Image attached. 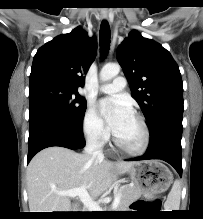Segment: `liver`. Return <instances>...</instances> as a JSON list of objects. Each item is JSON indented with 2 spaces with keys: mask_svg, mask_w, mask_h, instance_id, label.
<instances>
[{
  "mask_svg": "<svg viewBox=\"0 0 203 219\" xmlns=\"http://www.w3.org/2000/svg\"><path fill=\"white\" fill-rule=\"evenodd\" d=\"M134 164L99 160L60 146L43 149L27 168L30 212H75L69 196L57 192L85 186L97 198L111 188L117 173L128 172Z\"/></svg>",
  "mask_w": 203,
  "mask_h": 219,
  "instance_id": "1",
  "label": "liver"
}]
</instances>
